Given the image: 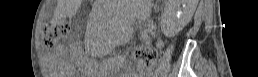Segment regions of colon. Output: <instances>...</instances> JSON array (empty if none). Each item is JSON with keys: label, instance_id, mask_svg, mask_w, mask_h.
Segmentation results:
<instances>
[{"label": "colon", "instance_id": "obj_1", "mask_svg": "<svg viewBox=\"0 0 258 77\" xmlns=\"http://www.w3.org/2000/svg\"><path fill=\"white\" fill-rule=\"evenodd\" d=\"M67 29L68 26L61 23L47 24L44 27V31L47 33L48 39L51 42H55L62 38L65 35ZM156 58L157 51L152 45H142L137 48L135 52L136 62L141 70L145 73L151 71L156 62Z\"/></svg>", "mask_w": 258, "mask_h": 77}]
</instances>
